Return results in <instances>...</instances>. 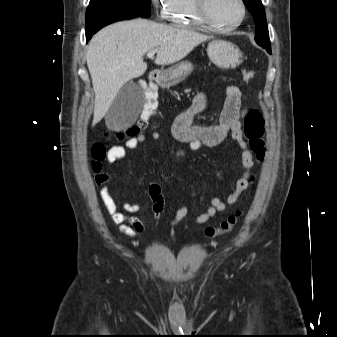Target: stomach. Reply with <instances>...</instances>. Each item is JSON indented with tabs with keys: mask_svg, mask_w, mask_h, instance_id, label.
<instances>
[{
	"mask_svg": "<svg viewBox=\"0 0 337 337\" xmlns=\"http://www.w3.org/2000/svg\"><path fill=\"white\" fill-rule=\"evenodd\" d=\"M207 54L210 60L220 68H235L242 62L241 51L232 43L214 40L208 44ZM193 71V65L181 62L160 73L159 80L167 85H173L184 80Z\"/></svg>",
	"mask_w": 337,
	"mask_h": 337,
	"instance_id": "1",
	"label": "stomach"
}]
</instances>
